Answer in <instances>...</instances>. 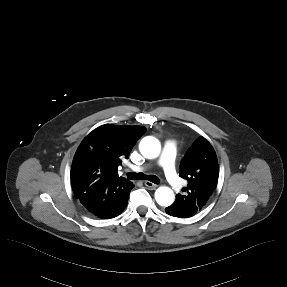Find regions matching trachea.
Listing matches in <instances>:
<instances>
[{
    "instance_id": "3493384b",
    "label": "trachea",
    "mask_w": 287,
    "mask_h": 287,
    "mask_svg": "<svg viewBox=\"0 0 287 287\" xmlns=\"http://www.w3.org/2000/svg\"><path fill=\"white\" fill-rule=\"evenodd\" d=\"M127 178L129 180H145L148 179L150 182L158 184L160 182L159 178L155 175L146 176L143 173L129 172L127 173Z\"/></svg>"
}]
</instances>
